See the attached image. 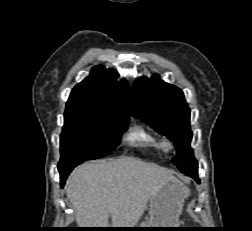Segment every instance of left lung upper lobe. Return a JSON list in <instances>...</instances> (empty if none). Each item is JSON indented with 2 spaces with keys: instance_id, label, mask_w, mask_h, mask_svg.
<instances>
[{
  "instance_id": "obj_1",
  "label": "left lung upper lobe",
  "mask_w": 252,
  "mask_h": 231,
  "mask_svg": "<svg viewBox=\"0 0 252 231\" xmlns=\"http://www.w3.org/2000/svg\"><path fill=\"white\" fill-rule=\"evenodd\" d=\"M131 113L167 136L177 147L173 163L181 171L198 169L190 148V110L183 92L154 75L135 80L131 94Z\"/></svg>"
}]
</instances>
